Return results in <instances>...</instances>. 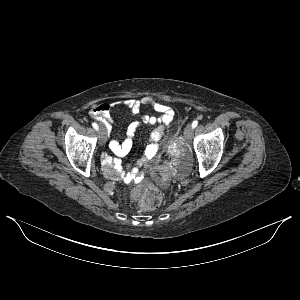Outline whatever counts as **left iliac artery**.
Returning a JSON list of instances; mask_svg holds the SVG:
<instances>
[{"label": "left iliac artery", "mask_w": 300, "mask_h": 300, "mask_svg": "<svg viewBox=\"0 0 300 300\" xmlns=\"http://www.w3.org/2000/svg\"><path fill=\"white\" fill-rule=\"evenodd\" d=\"M197 125H198V121H197V120H194V121L192 122V127L195 128Z\"/></svg>", "instance_id": "obj_1"}]
</instances>
